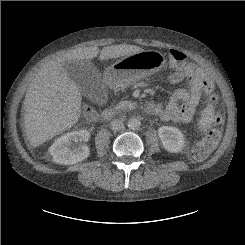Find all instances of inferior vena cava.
Returning <instances> with one entry per match:
<instances>
[{
	"mask_svg": "<svg viewBox=\"0 0 245 245\" xmlns=\"http://www.w3.org/2000/svg\"><path fill=\"white\" fill-rule=\"evenodd\" d=\"M123 128V122L119 119H114L111 121V129L113 131H119Z\"/></svg>",
	"mask_w": 245,
	"mask_h": 245,
	"instance_id": "obj_1",
	"label": "inferior vena cava"
}]
</instances>
